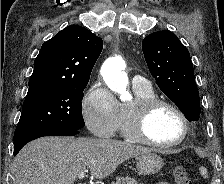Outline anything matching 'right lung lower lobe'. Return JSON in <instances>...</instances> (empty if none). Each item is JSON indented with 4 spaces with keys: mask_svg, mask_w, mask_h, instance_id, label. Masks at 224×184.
Segmentation results:
<instances>
[{
    "mask_svg": "<svg viewBox=\"0 0 224 184\" xmlns=\"http://www.w3.org/2000/svg\"><path fill=\"white\" fill-rule=\"evenodd\" d=\"M78 130H69V129H48L33 132L23 136L18 142L14 143V155H16L20 149L28 142L43 137V136H73L78 134Z\"/></svg>",
    "mask_w": 224,
    "mask_h": 184,
    "instance_id": "98d812e1",
    "label": "right lung lower lobe"
}]
</instances>
